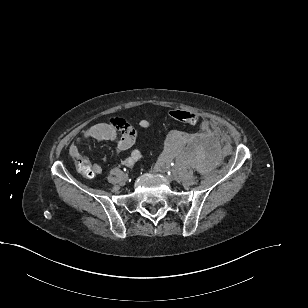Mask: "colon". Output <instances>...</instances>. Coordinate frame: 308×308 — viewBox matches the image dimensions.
<instances>
[{"label": "colon", "mask_w": 308, "mask_h": 308, "mask_svg": "<svg viewBox=\"0 0 308 308\" xmlns=\"http://www.w3.org/2000/svg\"><path fill=\"white\" fill-rule=\"evenodd\" d=\"M170 117L185 125H196L199 122V116L195 113L183 111V110H172L170 111ZM76 169L83 175L90 177L92 176L93 169L87 157L79 154L74 157Z\"/></svg>", "instance_id": "1"}]
</instances>
